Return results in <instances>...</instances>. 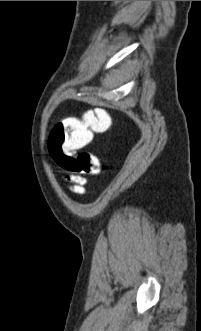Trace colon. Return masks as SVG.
<instances>
[{
    "label": "colon",
    "mask_w": 201,
    "mask_h": 331,
    "mask_svg": "<svg viewBox=\"0 0 201 331\" xmlns=\"http://www.w3.org/2000/svg\"><path fill=\"white\" fill-rule=\"evenodd\" d=\"M112 124L104 109L88 111L81 118L67 117L57 122L48 138V150L57 165L75 174H99L101 162L89 152H76L92 140L93 133H103Z\"/></svg>",
    "instance_id": "5ec220e1"
}]
</instances>
